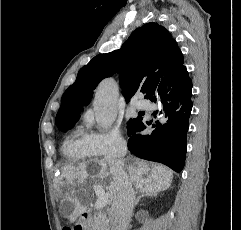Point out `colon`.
Masks as SVG:
<instances>
[{
  "mask_svg": "<svg viewBox=\"0 0 241 230\" xmlns=\"http://www.w3.org/2000/svg\"><path fill=\"white\" fill-rule=\"evenodd\" d=\"M63 230H72V229L69 227H65V228H63Z\"/></svg>",
  "mask_w": 241,
  "mask_h": 230,
  "instance_id": "1",
  "label": "colon"
}]
</instances>
